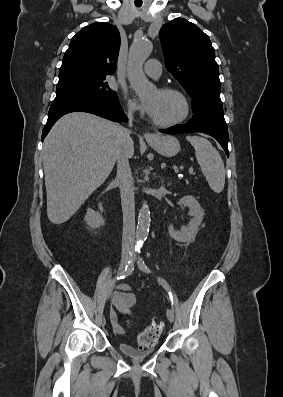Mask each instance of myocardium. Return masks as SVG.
<instances>
[{"label": "myocardium", "mask_w": 283, "mask_h": 397, "mask_svg": "<svg viewBox=\"0 0 283 397\" xmlns=\"http://www.w3.org/2000/svg\"><path fill=\"white\" fill-rule=\"evenodd\" d=\"M158 91L161 93H170V94L177 95L183 103V112L179 117H177L173 120H170V121H158V120L151 118V121L153 122V124L158 127L167 128V127H173V126L179 125L182 122H184L188 118L190 111H191V105H190L189 99L186 96V94L183 91H181L180 89L171 87V86L161 87L158 89Z\"/></svg>", "instance_id": "obj_1"}]
</instances>
